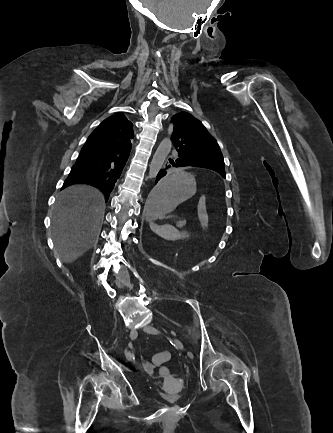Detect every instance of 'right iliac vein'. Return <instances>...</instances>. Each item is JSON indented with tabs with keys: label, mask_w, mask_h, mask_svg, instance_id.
Segmentation results:
<instances>
[{
	"label": "right iliac vein",
	"mask_w": 333,
	"mask_h": 433,
	"mask_svg": "<svg viewBox=\"0 0 333 433\" xmlns=\"http://www.w3.org/2000/svg\"><path fill=\"white\" fill-rule=\"evenodd\" d=\"M136 337H137V331H136L135 329H131V331H130V338H131L132 340H134V339H136ZM126 358H127L129 361H131V359H132V354H131V352H127Z\"/></svg>",
	"instance_id": "obj_1"
}]
</instances>
